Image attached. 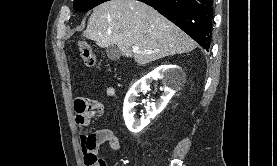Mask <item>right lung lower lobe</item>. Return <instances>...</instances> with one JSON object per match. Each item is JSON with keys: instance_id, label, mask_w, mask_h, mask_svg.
<instances>
[{"instance_id": "98d812e1", "label": "right lung lower lobe", "mask_w": 277, "mask_h": 166, "mask_svg": "<svg viewBox=\"0 0 277 166\" xmlns=\"http://www.w3.org/2000/svg\"><path fill=\"white\" fill-rule=\"evenodd\" d=\"M144 2L209 51L212 37L213 0H138Z\"/></svg>"}]
</instances>
